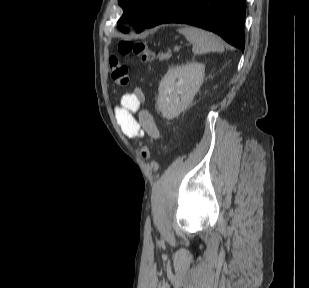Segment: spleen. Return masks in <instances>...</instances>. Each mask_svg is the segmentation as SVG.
I'll return each mask as SVG.
<instances>
[{"label": "spleen", "instance_id": "obj_1", "mask_svg": "<svg viewBox=\"0 0 309 288\" xmlns=\"http://www.w3.org/2000/svg\"><path fill=\"white\" fill-rule=\"evenodd\" d=\"M178 31L193 44L192 51L194 54L224 51L221 39L211 32L191 26H186Z\"/></svg>", "mask_w": 309, "mask_h": 288}]
</instances>
